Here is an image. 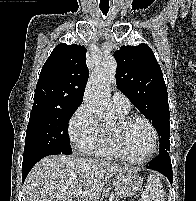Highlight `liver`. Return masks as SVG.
Returning <instances> with one entry per match:
<instances>
[{"label": "liver", "mask_w": 196, "mask_h": 201, "mask_svg": "<svg viewBox=\"0 0 196 201\" xmlns=\"http://www.w3.org/2000/svg\"><path fill=\"white\" fill-rule=\"evenodd\" d=\"M135 170L77 156L51 155L40 160L24 183L25 201H98L112 176ZM79 190L82 193L76 197Z\"/></svg>", "instance_id": "liver-1"}]
</instances>
